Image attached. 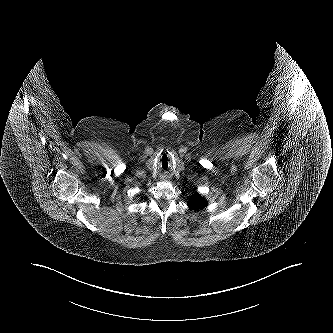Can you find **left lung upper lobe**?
I'll return each instance as SVG.
<instances>
[{"mask_svg":"<svg viewBox=\"0 0 333 333\" xmlns=\"http://www.w3.org/2000/svg\"><path fill=\"white\" fill-rule=\"evenodd\" d=\"M207 202L198 194H193L188 202V206L192 209L198 210L206 207Z\"/></svg>","mask_w":333,"mask_h":333,"instance_id":"obj_1","label":"left lung upper lobe"}]
</instances>
